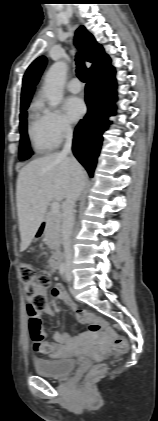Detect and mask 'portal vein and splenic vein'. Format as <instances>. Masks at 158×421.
Wrapping results in <instances>:
<instances>
[{
  "label": "portal vein and splenic vein",
  "mask_w": 158,
  "mask_h": 421,
  "mask_svg": "<svg viewBox=\"0 0 158 421\" xmlns=\"http://www.w3.org/2000/svg\"><path fill=\"white\" fill-rule=\"evenodd\" d=\"M59 210H60V204L58 202L52 203V205H51V211L53 213H59Z\"/></svg>",
  "instance_id": "18ae733b"
}]
</instances>
